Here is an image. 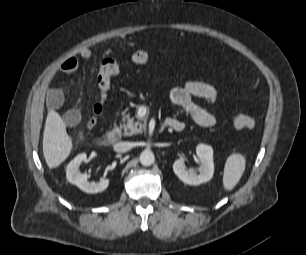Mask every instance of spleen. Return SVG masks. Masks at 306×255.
Returning a JSON list of instances; mask_svg holds the SVG:
<instances>
[{
  "mask_svg": "<svg viewBox=\"0 0 306 255\" xmlns=\"http://www.w3.org/2000/svg\"><path fill=\"white\" fill-rule=\"evenodd\" d=\"M245 162L241 154H232L227 158L223 175V186L226 191L232 190L239 182L245 170Z\"/></svg>",
  "mask_w": 306,
  "mask_h": 255,
  "instance_id": "obj_1",
  "label": "spleen"
}]
</instances>
